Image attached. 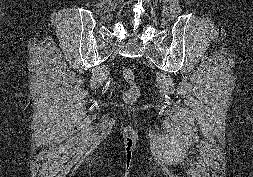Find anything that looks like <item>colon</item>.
<instances>
[{
    "instance_id": "5ec220e1",
    "label": "colon",
    "mask_w": 253,
    "mask_h": 177,
    "mask_svg": "<svg viewBox=\"0 0 253 177\" xmlns=\"http://www.w3.org/2000/svg\"><path fill=\"white\" fill-rule=\"evenodd\" d=\"M122 76L128 84V88L124 92V100L128 103H133L140 95V88L136 83L135 74L130 68L126 67L122 70Z\"/></svg>"
}]
</instances>
